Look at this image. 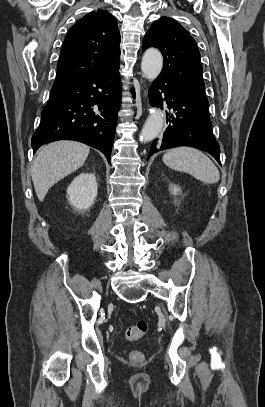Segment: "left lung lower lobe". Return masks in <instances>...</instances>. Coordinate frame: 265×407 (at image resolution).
<instances>
[{"label": "left lung lower lobe", "instance_id": "obj_1", "mask_svg": "<svg viewBox=\"0 0 265 407\" xmlns=\"http://www.w3.org/2000/svg\"><path fill=\"white\" fill-rule=\"evenodd\" d=\"M149 100L152 106L160 108L166 101L173 113L167 118L169 125L163 139L154 140L147 159L159 150L185 145L207 151L220 164V147L212 133L209 106L197 102L162 75L150 87Z\"/></svg>", "mask_w": 265, "mask_h": 407}]
</instances>
